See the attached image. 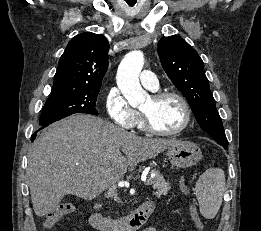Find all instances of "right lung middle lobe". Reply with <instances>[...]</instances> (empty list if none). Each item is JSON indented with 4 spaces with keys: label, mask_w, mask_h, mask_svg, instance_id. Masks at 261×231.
I'll list each match as a JSON object with an SVG mask.
<instances>
[{
    "label": "right lung middle lobe",
    "mask_w": 261,
    "mask_h": 231,
    "mask_svg": "<svg viewBox=\"0 0 261 231\" xmlns=\"http://www.w3.org/2000/svg\"><path fill=\"white\" fill-rule=\"evenodd\" d=\"M99 91L100 88L52 89L39 124L48 125L74 113L98 115L95 106Z\"/></svg>",
    "instance_id": "dd1d6c3e"
}]
</instances>
